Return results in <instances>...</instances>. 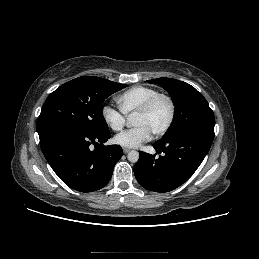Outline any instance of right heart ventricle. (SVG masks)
Here are the masks:
<instances>
[{
  "label": "right heart ventricle",
  "instance_id": "obj_1",
  "mask_svg": "<svg viewBox=\"0 0 259 259\" xmlns=\"http://www.w3.org/2000/svg\"><path fill=\"white\" fill-rule=\"evenodd\" d=\"M158 91L155 88L148 86H133L116 97L120 110L126 115L134 114L146 100Z\"/></svg>",
  "mask_w": 259,
  "mask_h": 259
}]
</instances>
